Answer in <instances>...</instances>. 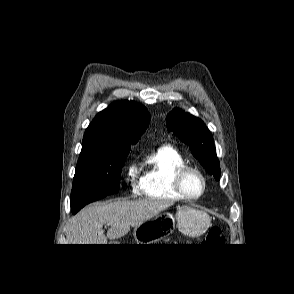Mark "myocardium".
<instances>
[{
    "mask_svg": "<svg viewBox=\"0 0 294 294\" xmlns=\"http://www.w3.org/2000/svg\"><path fill=\"white\" fill-rule=\"evenodd\" d=\"M195 173L198 175L202 182V188L198 195L191 196L189 195L185 189H184V178L188 173ZM207 187V180L205 175L196 167L190 166V165H180L178 166L174 172H173V188L177 192V194L187 201H194L202 197V195L205 193Z\"/></svg>",
    "mask_w": 294,
    "mask_h": 294,
    "instance_id": "obj_1",
    "label": "myocardium"
}]
</instances>
